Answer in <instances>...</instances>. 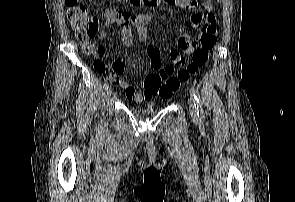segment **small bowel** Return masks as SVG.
Here are the masks:
<instances>
[{
  "label": "small bowel",
  "mask_w": 295,
  "mask_h": 202,
  "mask_svg": "<svg viewBox=\"0 0 295 202\" xmlns=\"http://www.w3.org/2000/svg\"><path fill=\"white\" fill-rule=\"evenodd\" d=\"M174 3L181 8H190L193 13L190 18L191 27L195 28L199 24L203 26L214 23L215 15L213 12V5L210 0H203L202 6L204 11L201 13L196 10L197 5L194 0H174ZM98 25V19L94 17ZM151 21V15L147 13L131 14L128 11L120 10L118 8H108L106 10V22L108 24H118L121 29V40L127 47L133 44V35L131 26L134 25L137 29L138 37L141 41H146L149 37V23ZM99 28V25H98ZM104 31H101V37L104 36ZM194 44L191 42L187 34H183L179 40L177 46H171L168 48L169 63L162 68V50L158 46L151 45L147 48V54L151 60V65L154 69L167 71L171 66L175 68L178 66V60L181 57L180 52L184 51L189 53L193 50ZM82 49L87 53L95 54L98 58H102L106 53V47L103 44L95 45L90 43L83 45ZM113 63L109 64V67H105V63H96L95 69L97 72L105 75L106 79L110 82L117 83L122 89L126 91L127 97L134 103H141L143 101L150 100L154 92L151 90L136 91L127 81L121 80L119 75L124 72V63H119V59H113ZM105 68V69H104Z\"/></svg>",
  "instance_id": "1"
}]
</instances>
